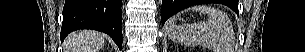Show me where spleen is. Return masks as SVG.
Returning a JSON list of instances; mask_svg holds the SVG:
<instances>
[{
  "instance_id": "spleen-1",
  "label": "spleen",
  "mask_w": 305,
  "mask_h": 52,
  "mask_svg": "<svg viewBox=\"0 0 305 52\" xmlns=\"http://www.w3.org/2000/svg\"><path fill=\"white\" fill-rule=\"evenodd\" d=\"M192 10L207 14V21L176 25L173 17L167 26L169 38L186 46L200 45L213 52H230L234 32L227 15L206 5L195 6Z\"/></svg>"
}]
</instances>
